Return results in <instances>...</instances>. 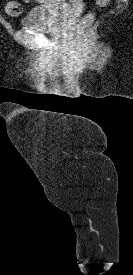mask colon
I'll use <instances>...</instances> for the list:
<instances>
[{"mask_svg":"<svg viewBox=\"0 0 133 275\" xmlns=\"http://www.w3.org/2000/svg\"><path fill=\"white\" fill-rule=\"evenodd\" d=\"M5 10L10 16H19L21 14V5L16 1H9L6 4Z\"/></svg>","mask_w":133,"mask_h":275,"instance_id":"5ec220e1","label":"colon"}]
</instances>
